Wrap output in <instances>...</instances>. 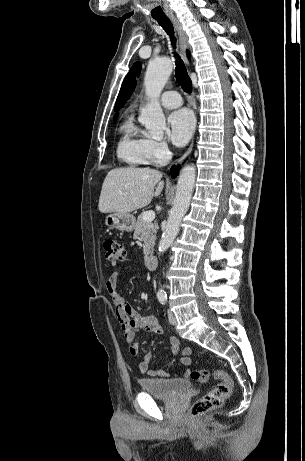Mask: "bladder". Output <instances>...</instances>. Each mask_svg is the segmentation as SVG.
I'll use <instances>...</instances> for the list:
<instances>
[{"instance_id": "1", "label": "bladder", "mask_w": 305, "mask_h": 461, "mask_svg": "<svg viewBox=\"0 0 305 461\" xmlns=\"http://www.w3.org/2000/svg\"><path fill=\"white\" fill-rule=\"evenodd\" d=\"M138 384L141 390L154 397L171 400L178 395L191 389L190 381L186 379H167V378H139Z\"/></svg>"}]
</instances>
